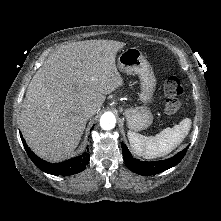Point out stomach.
<instances>
[{
	"instance_id": "0dacf381",
	"label": "stomach",
	"mask_w": 221,
	"mask_h": 221,
	"mask_svg": "<svg viewBox=\"0 0 221 221\" xmlns=\"http://www.w3.org/2000/svg\"><path fill=\"white\" fill-rule=\"evenodd\" d=\"M117 66L121 72L137 74L140 78L141 92L139 99L143 105L127 108L124 111V115L130 130H144L153 123V114L147 106L153 101L156 86L152 68L142 53L136 48L124 50L118 57Z\"/></svg>"
}]
</instances>
